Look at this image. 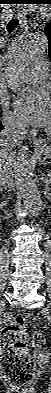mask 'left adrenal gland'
Returning a JSON list of instances; mask_svg holds the SVG:
<instances>
[{
  "instance_id": "obj_1",
  "label": "left adrenal gland",
  "mask_w": 51,
  "mask_h": 393,
  "mask_svg": "<svg viewBox=\"0 0 51 393\" xmlns=\"http://www.w3.org/2000/svg\"><path fill=\"white\" fill-rule=\"evenodd\" d=\"M49 192H50L49 184H46V192H45L46 197H49V195H50Z\"/></svg>"
}]
</instances>
